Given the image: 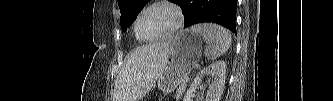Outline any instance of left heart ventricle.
I'll use <instances>...</instances> for the list:
<instances>
[{"label": "left heart ventricle", "instance_id": "1", "mask_svg": "<svg viewBox=\"0 0 333 101\" xmlns=\"http://www.w3.org/2000/svg\"><path fill=\"white\" fill-rule=\"evenodd\" d=\"M176 23V16L166 7H155L145 12L139 21V30L142 36L154 38L169 30Z\"/></svg>", "mask_w": 333, "mask_h": 101}]
</instances>
